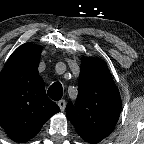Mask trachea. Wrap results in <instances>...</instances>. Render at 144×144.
<instances>
[{"label":"trachea","mask_w":144,"mask_h":144,"mask_svg":"<svg viewBox=\"0 0 144 144\" xmlns=\"http://www.w3.org/2000/svg\"><path fill=\"white\" fill-rule=\"evenodd\" d=\"M47 94L54 101L60 100L62 98V95H63L62 85L59 82L53 83L49 87Z\"/></svg>","instance_id":"trachea-1"}]
</instances>
